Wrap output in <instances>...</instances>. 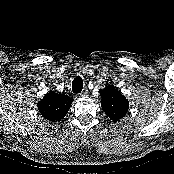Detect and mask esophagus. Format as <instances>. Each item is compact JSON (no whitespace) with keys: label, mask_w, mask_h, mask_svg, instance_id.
<instances>
[{"label":"esophagus","mask_w":174,"mask_h":174,"mask_svg":"<svg viewBox=\"0 0 174 174\" xmlns=\"http://www.w3.org/2000/svg\"><path fill=\"white\" fill-rule=\"evenodd\" d=\"M88 93H89L88 89H84L79 95H80L81 97H84V96H87Z\"/></svg>","instance_id":"1"}]
</instances>
